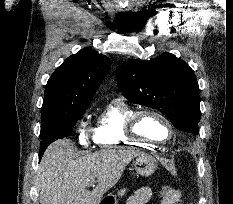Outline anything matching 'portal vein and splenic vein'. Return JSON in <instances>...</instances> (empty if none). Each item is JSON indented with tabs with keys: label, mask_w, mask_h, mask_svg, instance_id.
Returning a JSON list of instances; mask_svg holds the SVG:
<instances>
[{
	"label": "portal vein and splenic vein",
	"mask_w": 233,
	"mask_h": 204,
	"mask_svg": "<svg viewBox=\"0 0 233 204\" xmlns=\"http://www.w3.org/2000/svg\"><path fill=\"white\" fill-rule=\"evenodd\" d=\"M89 185L94 187V186H95V182L91 181V182L89 183Z\"/></svg>",
	"instance_id": "portal-vein-and-splenic-vein-1"
}]
</instances>
